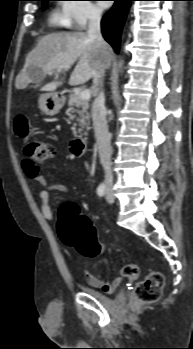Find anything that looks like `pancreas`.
Listing matches in <instances>:
<instances>
[{
	"instance_id": "1",
	"label": "pancreas",
	"mask_w": 193,
	"mask_h": 349,
	"mask_svg": "<svg viewBox=\"0 0 193 349\" xmlns=\"http://www.w3.org/2000/svg\"><path fill=\"white\" fill-rule=\"evenodd\" d=\"M68 115L71 120H74L76 118L75 113L78 114V118H76L77 122L79 123L80 128L76 130L75 126L72 128L73 134L77 135V133H81L84 128L86 130H89L90 127V114L88 112L89 109V102L88 100L82 99L80 97V93H71L69 95L68 99ZM86 134V132L84 133Z\"/></svg>"
}]
</instances>
